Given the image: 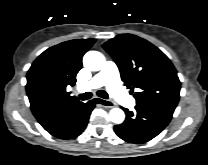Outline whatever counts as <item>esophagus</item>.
<instances>
[{"instance_id":"obj_1","label":"esophagus","mask_w":208,"mask_h":165,"mask_svg":"<svg viewBox=\"0 0 208 165\" xmlns=\"http://www.w3.org/2000/svg\"><path fill=\"white\" fill-rule=\"evenodd\" d=\"M94 102L103 106V107H108V108H112V107L115 106V103L110 102V101L105 100V99H102V98H99V97H95Z\"/></svg>"}]
</instances>
